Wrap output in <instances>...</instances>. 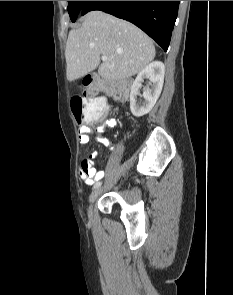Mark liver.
I'll return each instance as SVG.
<instances>
[{
    "instance_id": "obj_1",
    "label": "liver",
    "mask_w": 233,
    "mask_h": 295,
    "mask_svg": "<svg viewBox=\"0 0 233 295\" xmlns=\"http://www.w3.org/2000/svg\"><path fill=\"white\" fill-rule=\"evenodd\" d=\"M107 60L100 64V56ZM155 57L152 40L138 27L102 11H91L82 26L69 32L66 76L71 82L98 66L105 80H122L141 72Z\"/></svg>"
}]
</instances>
